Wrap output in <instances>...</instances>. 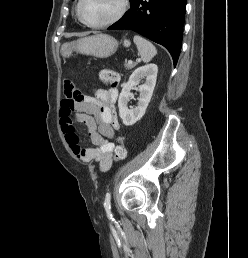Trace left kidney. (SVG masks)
Segmentation results:
<instances>
[{
	"label": "left kidney",
	"instance_id": "obj_1",
	"mask_svg": "<svg viewBox=\"0 0 248 258\" xmlns=\"http://www.w3.org/2000/svg\"><path fill=\"white\" fill-rule=\"evenodd\" d=\"M157 73L158 67L153 63L138 67L123 86L119 95L118 107L119 116L125 126H132L145 114L156 84ZM141 78H146V81L139 87L138 104L135 108L129 109L127 105L131 95L130 91L139 83Z\"/></svg>",
	"mask_w": 248,
	"mask_h": 258
}]
</instances>
